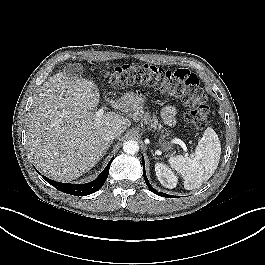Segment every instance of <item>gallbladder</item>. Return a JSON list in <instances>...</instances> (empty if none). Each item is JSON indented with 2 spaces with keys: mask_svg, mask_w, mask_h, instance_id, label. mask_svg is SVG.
I'll return each instance as SVG.
<instances>
[{
  "mask_svg": "<svg viewBox=\"0 0 265 265\" xmlns=\"http://www.w3.org/2000/svg\"><path fill=\"white\" fill-rule=\"evenodd\" d=\"M82 71H83V69L80 65H71L66 70L67 75H70V76L81 75Z\"/></svg>",
  "mask_w": 265,
  "mask_h": 265,
  "instance_id": "1",
  "label": "gallbladder"
}]
</instances>
